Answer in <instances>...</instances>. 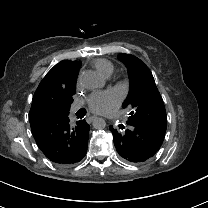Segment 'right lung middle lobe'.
Segmentation results:
<instances>
[{
    "instance_id": "1",
    "label": "right lung middle lobe",
    "mask_w": 208,
    "mask_h": 208,
    "mask_svg": "<svg viewBox=\"0 0 208 208\" xmlns=\"http://www.w3.org/2000/svg\"><path fill=\"white\" fill-rule=\"evenodd\" d=\"M73 94H75V91L64 94L58 101L55 102V105L53 106V108H49L44 111L50 112V113H58V114L61 113V114L68 115L71 103L73 101L72 99Z\"/></svg>"
}]
</instances>
